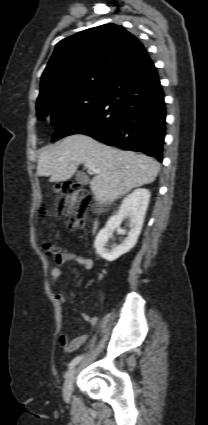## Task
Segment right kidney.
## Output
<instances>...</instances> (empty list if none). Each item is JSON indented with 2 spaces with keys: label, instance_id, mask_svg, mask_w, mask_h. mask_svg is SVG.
Segmentation results:
<instances>
[{
  "label": "right kidney",
  "instance_id": "obj_1",
  "mask_svg": "<svg viewBox=\"0 0 208 425\" xmlns=\"http://www.w3.org/2000/svg\"><path fill=\"white\" fill-rule=\"evenodd\" d=\"M150 200V192L147 189H136L122 202L118 212L107 222L105 228L98 233L94 247L96 252L107 261H114L121 255L129 252L137 243L140 235L146 210ZM129 220L130 230L126 239L111 250L106 248L107 241L116 228H119L123 220Z\"/></svg>",
  "mask_w": 208,
  "mask_h": 425
}]
</instances>
